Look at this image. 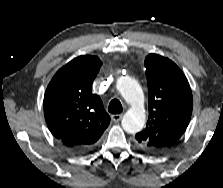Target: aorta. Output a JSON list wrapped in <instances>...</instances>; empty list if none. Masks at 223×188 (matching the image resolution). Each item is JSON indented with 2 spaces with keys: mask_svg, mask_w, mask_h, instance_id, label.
<instances>
[{
  "mask_svg": "<svg viewBox=\"0 0 223 188\" xmlns=\"http://www.w3.org/2000/svg\"><path fill=\"white\" fill-rule=\"evenodd\" d=\"M117 89L131 108L124 114L122 127L127 133H137L145 125L144 94L139 83L130 76H121L117 80Z\"/></svg>",
  "mask_w": 223,
  "mask_h": 188,
  "instance_id": "obj_1",
  "label": "aorta"
}]
</instances>
